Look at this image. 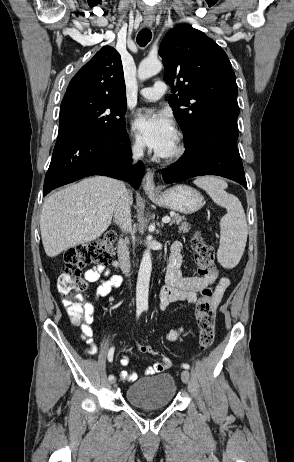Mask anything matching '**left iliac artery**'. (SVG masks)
Masks as SVG:
<instances>
[{
	"instance_id": "44dca946",
	"label": "left iliac artery",
	"mask_w": 294,
	"mask_h": 462,
	"mask_svg": "<svg viewBox=\"0 0 294 462\" xmlns=\"http://www.w3.org/2000/svg\"><path fill=\"white\" fill-rule=\"evenodd\" d=\"M182 367H183L184 369H189V368H190V366H189L188 364H183Z\"/></svg>"
}]
</instances>
